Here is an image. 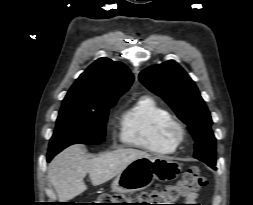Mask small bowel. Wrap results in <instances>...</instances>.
<instances>
[{"label": "small bowel", "instance_id": "small-bowel-1", "mask_svg": "<svg viewBox=\"0 0 253 205\" xmlns=\"http://www.w3.org/2000/svg\"><path fill=\"white\" fill-rule=\"evenodd\" d=\"M198 195L194 194L188 198L189 203H196L197 202ZM190 205H200V204H190Z\"/></svg>", "mask_w": 253, "mask_h": 205}]
</instances>
